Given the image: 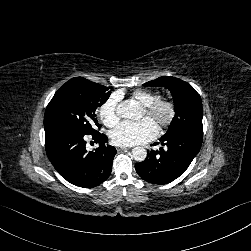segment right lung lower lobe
<instances>
[{
    "label": "right lung lower lobe",
    "mask_w": 251,
    "mask_h": 251,
    "mask_svg": "<svg viewBox=\"0 0 251 251\" xmlns=\"http://www.w3.org/2000/svg\"><path fill=\"white\" fill-rule=\"evenodd\" d=\"M45 129V149L56 170L68 182L79 187H95L105 181L112 170L115 147L106 145L107 136L94 131L85 134L63 125H49ZM86 135H91L99 147L86 150Z\"/></svg>",
    "instance_id": "98d812e1"
}]
</instances>
